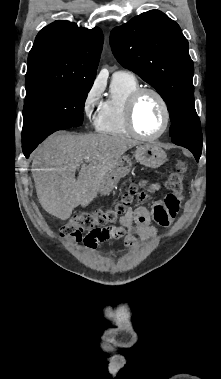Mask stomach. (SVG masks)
I'll return each mask as SVG.
<instances>
[{
  "instance_id": "stomach-1",
  "label": "stomach",
  "mask_w": 221,
  "mask_h": 379,
  "mask_svg": "<svg viewBox=\"0 0 221 379\" xmlns=\"http://www.w3.org/2000/svg\"><path fill=\"white\" fill-rule=\"evenodd\" d=\"M134 157L137 162L148 167L158 168L167 159L165 151L156 143H144L137 146ZM132 167V160L127 155H123L116 165L104 176L100 191L102 194H109L121 178L126 176Z\"/></svg>"
}]
</instances>
